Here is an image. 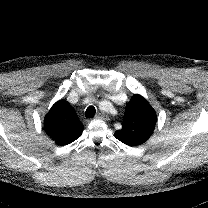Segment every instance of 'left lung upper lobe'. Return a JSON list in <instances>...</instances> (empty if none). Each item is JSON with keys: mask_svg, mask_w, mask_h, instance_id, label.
<instances>
[{"mask_svg": "<svg viewBox=\"0 0 208 208\" xmlns=\"http://www.w3.org/2000/svg\"><path fill=\"white\" fill-rule=\"evenodd\" d=\"M157 115L152 106L141 95L135 94L126 104L122 129L115 137L129 146L146 142L155 129Z\"/></svg>", "mask_w": 208, "mask_h": 208, "instance_id": "left-lung-upper-lobe-1", "label": "left lung upper lobe"}]
</instances>
